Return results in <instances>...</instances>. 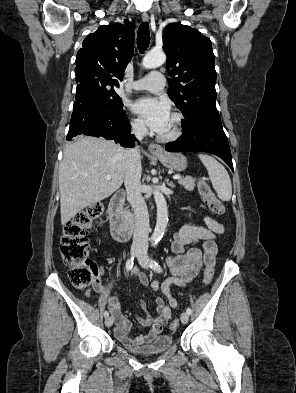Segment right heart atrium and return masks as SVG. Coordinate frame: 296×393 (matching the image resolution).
Listing matches in <instances>:
<instances>
[{
	"label": "right heart atrium",
	"mask_w": 296,
	"mask_h": 393,
	"mask_svg": "<svg viewBox=\"0 0 296 393\" xmlns=\"http://www.w3.org/2000/svg\"><path fill=\"white\" fill-rule=\"evenodd\" d=\"M130 125L132 131L138 135H142L146 132V127L140 119H132Z\"/></svg>",
	"instance_id": "right-heart-atrium-1"
}]
</instances>
